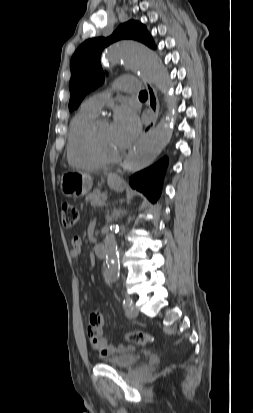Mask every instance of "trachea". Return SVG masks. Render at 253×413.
Masks as SVG:
<instances>
[{
    "label": "trachea",
    "instance_id": "trachea-1",
    "mask_svg": "<svg viewBox=\"0 0 253 413\" xmlns=\"http://www.w3.org/2000/svg\"><path fill=\"white\" fill-rule=\"evenodd\" d=\"M147 96H148V94H147L146 91H141L140 94H139V97H147Z\"/></svg>",
    "mask_w": 253,
    "mask_h": 413
}]
</instances>
